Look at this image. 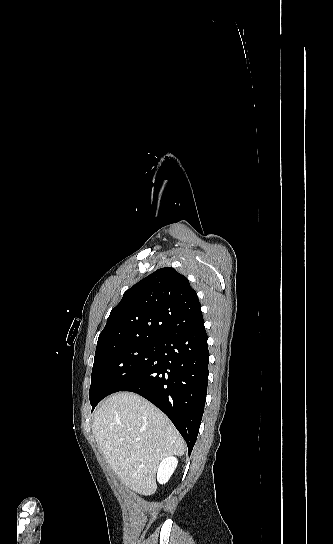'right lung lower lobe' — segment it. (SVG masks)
I'll use <instances>...</instances> for the list:
<instances>
[{"mask_svg": "<svg viewBox=\"0 0 333 544\" xmlns=\"http://www.w3.org/2000/svg\"><path fill=\"white\" fill-rule=\"evenodd\" d=\"M203 317L157 341L150 361L120 391L141 395L162 410L192 452L207 394L209 351Z\"/></svg>", "mask_w": 333, "mask_h": 544, "instance_id": "obj_1", "label": "right lung lower lobe"}]
</instances>
